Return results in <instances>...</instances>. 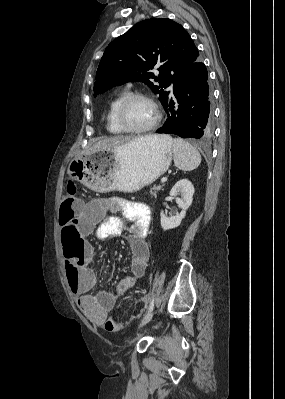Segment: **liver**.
I'll list each match as a JSON object with an SVG mask.
<instances>
[{
  "label": "liver",
  "instance_id": "6515ba94",
  "mask_svg": "<svg viewBox=\"0 0 285 399\" xmlns=\"http://www.w3.org/2000/svg\"><path fill=\"white\" fill-rule=\"evenodd\" d=\"M158 135H150L146 137H139V138H132V137H126V136H114L110 138H104L100 139L96 143H94L88 151L85 153H89L94 150H115L118 147L125 145L135 139H141V138H157Z\"/></svg>",
  "mask_w": 285,
  "mask_h": 399
}]
</instances>
